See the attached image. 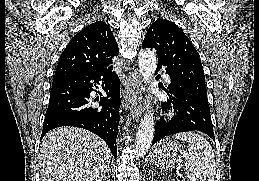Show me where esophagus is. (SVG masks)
Instances as JSON below:
<instances>
[{"label":"esophagus","mask_w":259,"mask_h":181,"mask_svg":"<svg viewBox=\"0 0 259 181\" xmlns=\"http://www.w3.org/2000/svg\"><path fill=\"white\" fill-rule=\"evenodd\" d=\"M141 78L137 72L130 77V89L124 95V107L130 109L132 118L138 120L142 111Z\"/></svg>","instance_id":"esophagus-1"}]
</instances>
